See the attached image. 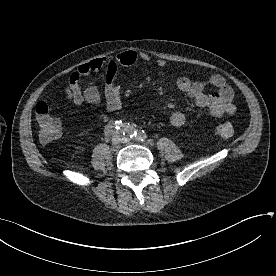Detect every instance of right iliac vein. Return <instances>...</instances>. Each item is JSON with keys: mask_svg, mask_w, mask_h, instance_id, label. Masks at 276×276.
<instances>
[{"mask_svg": "<svg viewBox=\"0 0 276 276\" xmlns=\"http://www.w3.org/2000/svg\"><path fill=\"white\" fill-rule=\"evenodd\" d=\"M120 142H121V137L119 134H115L112 136L111 143L114 147L119 146Z\"/></svg>", "mask_w": 276, "mask_h": 276, "instance_id": "63e3f726", "label": "right iliac vein"}]
</instances>
